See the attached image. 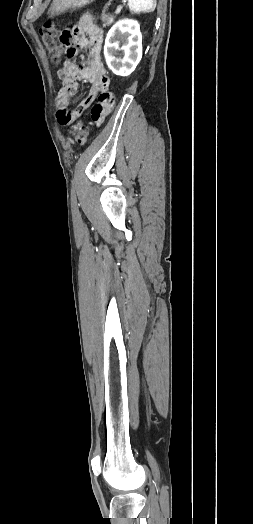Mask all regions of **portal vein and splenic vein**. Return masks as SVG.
Masks as SVG:
<instances>
[{
    "instance_id": "portal-vein-and-splenic-vein-1",
    "label": "portal vein and splenic vein",
    "mask_w": 253,
    "mask_h": 524,
    "mask_svg": "<svg viewBox=\"0 0 253 524\" xmlns=\"http://www.w3.org/2000/svg\"><path fill=\"white\" fill-rule=\"evenodd\" d=\"M120 11H121V7H118V8L116 9V13H119Z\"/></svg>"
}]
</instances>
